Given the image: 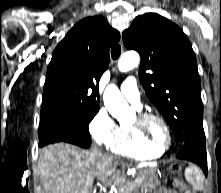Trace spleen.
<instances>
[{"mask_svg": "<svg viewBox=\"0 0 221 193\" xmlns=\"http://www.w3.org/2000/svg\"><path fill=\"white\" fill-rule=\"evenodd\" d=\"M185 178L195 190L203 189V174L197 166L191 165L186 168Z\"/></svg>", "mask_w": 221, "mask_h": 193, "instance_id": "obj_1", "label": "spleen"}]
</instances>
